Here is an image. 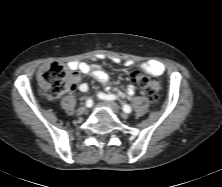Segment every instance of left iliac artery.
Returning <instances> with one entry per match:
<instances>
[{"label":"left iliac artery","mask_w":222,"mask_h":187,"mask_svg":"<svg viewBox=\"0 0 222 187\" xmlns=\"http://www.w3.org/2000/svg\"><path fill=\"white\" fill-rule=\"evenodd\" d=\"M98 96H99V98L104 99V100H115L116 99V96L112 95V94L106 95V94L100 93ZM123 111L126 113H130L132 111V109L129 105L124 104Z\"/></svg>","instance_id":"left-iliac-artery-1"}]
</instances>
